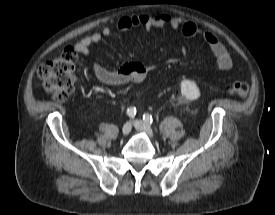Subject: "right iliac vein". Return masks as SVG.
<instances>
[{
    "label": "right iliac vein",
    "mask_w": 275,
    "mask_h": 215,
    "mask_svg": "<svg viewBox=\"0 0 275 215\" xmlns=\"http://www.w3.org/2000/svg\"><path fill=\"white\" fill-rule=\"evenodd\" d=\"M132 129V124L131 122H127L124 124L123 128H122V133L124 135H128L131 132Z\"/></svg>",
    "instance_id": "1"
}]
</instances>
